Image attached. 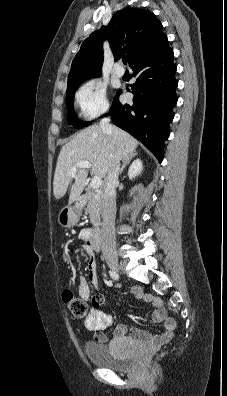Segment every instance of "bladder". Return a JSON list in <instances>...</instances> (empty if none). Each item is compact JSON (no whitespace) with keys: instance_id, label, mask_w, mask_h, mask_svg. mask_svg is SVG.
<instances>
[{"instance_id":"31cf9c89","label":"bladder","mask_w":227,"mask_h":396,"mask_svg":"<svg viewBox=\"0 0 227 396\" xmlns=\"http://www.w3.org/2000/svg\"><path fill=\"white\" fill-rule=\"evenodd\" d=\"M85 355L95 366L115 372H128L137 364V356L123 350L119 345H105L88 342L84 347Z\"/></svg>"}]
</instances>
